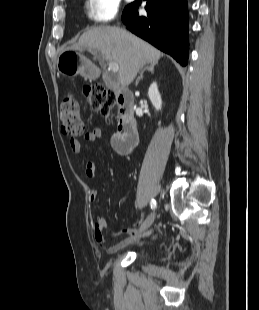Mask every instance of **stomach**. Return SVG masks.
I'll return each instance as SVG.
<instances>
[{"instance_id":"obj_1","label":"stomach","mask_w":259,"mask_h":310,"mask_svg":"<svg viewBox=\"0 0 259 310\" xmlns=\"http://www.w3.org/2000/svg\"><path fill=\"white\" fill-rule=\"evenodd\" d=\"M57 70L68 76L80 74L92 78L94 66L78 50L66 48L57 58Z\"/></svg>"}]
</instances>
